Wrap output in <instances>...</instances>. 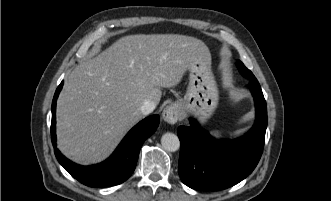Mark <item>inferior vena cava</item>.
I'll use <instances>...</instances> for the list:
<instances>
[{"label":"inferior vena cava","mask_w":331,"mask_h":201,"mask_svg":"<svg viewBox=\"0 0 331 201\" xmlns=\"http://www.w3.org/2000/svg\"><path fill=\"white\" fill-rule=\"evenodd\" d=\"M156 105L153 101L151 100H145L143 102V104L140 107V110L142 112L143 115H148L151 112H153V110L155 109Z\"/></svg>","instance_id":"602c4592"}]
</instances>
